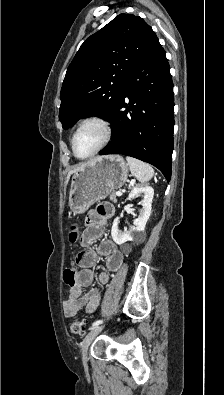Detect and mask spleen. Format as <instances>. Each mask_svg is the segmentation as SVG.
<instances>
[{
  "label": "spleen",
  "mask_w": 224,
  "mask_h": 395,
  "mask_svg": "<svg viewBox=\"0 0 224 395\" xmlns=\"http://www.w3.org/2000/svg\"><path fill=\"white\" fill-rule=\"evenodd\" d=\"M126 160L132 175L141 183H146L153 177L154 169L149 164L133 157H126Z\"/></svg>",
  "instance_id": "obj_1"
}]
</instances>
